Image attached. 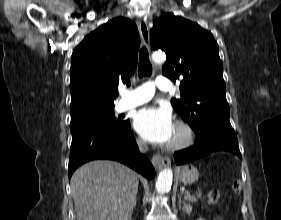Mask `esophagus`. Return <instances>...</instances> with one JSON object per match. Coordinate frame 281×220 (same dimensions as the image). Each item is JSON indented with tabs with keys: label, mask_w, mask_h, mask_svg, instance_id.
Segmentation results:
<instances>
[{
	"label": "esophagus",
	"mask_w": 281,
	"mask_h": 220,
	"mask_svg": "<svg viewBox=\"0 0 281 220\" xmlns=\"http://www.w3.org/2000/svg\"><path fill=\"white\" fill-rule=\"evenodd\" d=\"M138 28L140 32V36L142 39L143 45L147 48L150 49V32H149V27L145 19H141L138 23ZM152 164L158 168L161 169L165 166H169L171 164V160L167 157H163L160 154H155L152 157Z\"/></svg>",
	"instance_id": "obj_1"
}]
</instances>
